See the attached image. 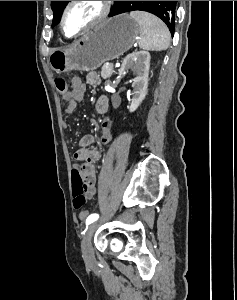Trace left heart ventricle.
Segmentation results:
<instances>
[{"label": "left heart ventricle", "instance_id": "1", "mask_svg": "<svg viewBox=\"0 0 237 300\" xmlns=\"http://www.w3.org/2000/svg\"><path fill=\"white\" fill-rule=\"evenodd\" d=\"M100 10L98 1H79L69 11L65 31L68 35L78 33L86 24L97 16Z\"/></svg>", "mask_w": 237, "mask_h": 300}]
</instances>
